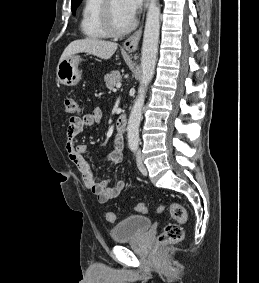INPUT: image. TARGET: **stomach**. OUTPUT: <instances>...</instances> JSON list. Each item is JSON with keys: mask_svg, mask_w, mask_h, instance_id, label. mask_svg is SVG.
<instances>
[{"mask_svg": "<svg viewBox=\"0 0 259 283\" xmlns=\"http://www.w3.org/2000/svg\"><path fill=\"white\" fill-rule=\"evenodd\" d=\"M81 60L79 55L73 54L59 62L56 74L61 84L74 86L82 79V72L78 68Z\"/></svg>", "mask_w": 259, "mask_h": 283, "instance_id": "0dacf381", "label": "stomach"}]
</instances>
